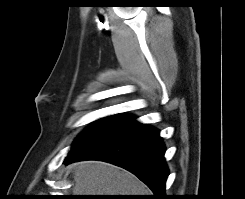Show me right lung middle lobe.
Here are the masks:
<instances>
[{"label": "right lung middle lobe", "mask_w": 245, "mask_h": 199, "mask_svg": "<svg viewBox=\"0 0 245 199\" xmlns=\"http://www.w3.org/2000/svg\"><path fill=\"white\" fill-rule=\"evenodd\" d=\"M125 119H127V117L122 115H114L99 119L77 138L73 143L68 156L102 138Z\"/></svg>", "instance_id": "dd1d6c3e"}]
</instances>
